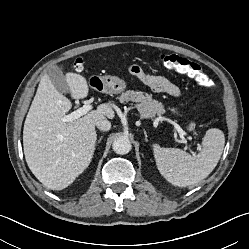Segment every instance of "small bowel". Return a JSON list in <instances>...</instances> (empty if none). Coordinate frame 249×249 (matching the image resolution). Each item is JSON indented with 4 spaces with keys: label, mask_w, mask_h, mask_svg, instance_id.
<instances>
[{
    "label": "small bowel",
    "mask_w": 249,
    "mask_h": 249,
    "mask_svg": "<svg viewBox=\"0 0 249 249\" xmlns=\"http://www.w3.org/2000/svg\"><path fill=\"white\" fill-rule=\"evenodd\" d=\"M130 72L155 93H165L173 97L181 96L180 89L164 76L151 74L139 66H132Z\"/></svg>",
    "instance_id": "obj_1"
}]
</instances>
